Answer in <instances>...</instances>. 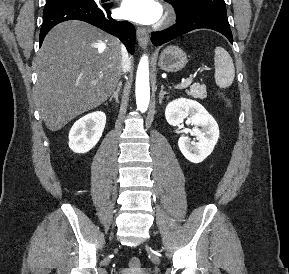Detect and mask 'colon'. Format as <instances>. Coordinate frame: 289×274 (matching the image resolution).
<instances>
[{"label":"colon","mask_w":289,"mask_h":274,"mask_svg":"<svg viewBox=\"0 0 289 274\" xmlns=\"http://www.w3.org/2000/svg\"><path fill=\"white\" fill-rule=\"evenodd\" d=\"M223 98L224 96L221 95ZM226 102L228 103V105H230L229 101L227 99H225ZM128 269L131 270V271H137L140 269V261L139 259L137 258H132L130 261H129V265H128Z\"/></svg>","instance_id":"colon-1"}]
</instances>
